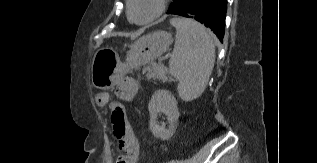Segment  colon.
<instances>
[{"instance_id":"1","label":"colon","mask_w":317,"mask_h":163,"mask_svg":"<svg viewBox=\"0 0 317 163\" xmlns=\"http://www.w3.org/2000/svg\"><path fill=\"white\" fill-rule=\"evenodd\" d=\"M95 100L98 106L109 107V116L113 129L117 133H123L127 125L123 107L118 103H112L109 94L106 92L98 93Z\"/></svg>"}]
</instances>
